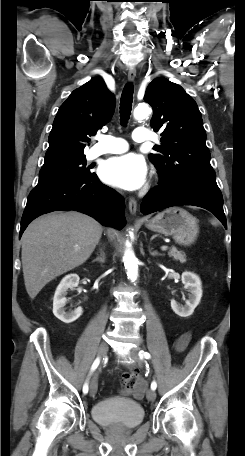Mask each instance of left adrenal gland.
<instances>
[{"instance_id":"a2214340","label":"left adrenal gland","mask_w":245,"mask_h":456,"mask_svg":"<svg viewBox=\"0 0 245 456\" xmlns=\"http://www.w3.org/2000/svg\"><path fill=\"white\" fill-rule=\"evenodd\" d=\"M149 253L152 256H162L163 254L158 253L157 251H153V249L149 246Z\"/></svg>"}]
</instances>
